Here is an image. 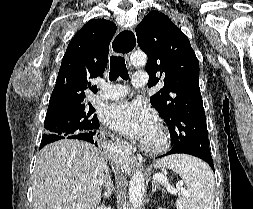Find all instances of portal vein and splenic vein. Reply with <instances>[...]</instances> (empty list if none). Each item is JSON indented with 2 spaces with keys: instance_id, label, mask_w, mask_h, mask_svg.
Instances as JSON below:
<instances>
[{
  "instance_id": "18ae733b",
  "label": "portal vein and splenic vein",
  "mask_w": 253,
  "mask_h": 209,
  "mask_svg": "<svg viewBox=\"0 0 253 209\" xmlns=\"http://www.w3.org/2000/svg\"><path fill=\"white\" fill-rule=\"evenodd\" d=\"M153 179L155 181H159V182H162L163 184H165L167 190L171 193V194H185L186 191L183 189V188H180V187H177L176 189L171 187L169 184H168V181H167V178L163 175V174H156Z\"/></svg>"
}]
</instances>
